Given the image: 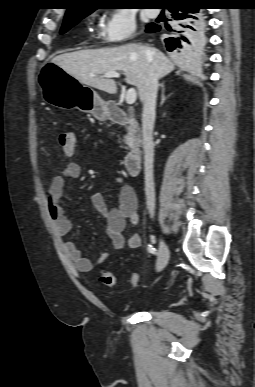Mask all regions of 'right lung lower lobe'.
Segmentation results:
<instances>
[{
    "label": "right lung lower lobe",
    "instance_id": "obj_1",
    "mask_svg": "<svg viewBox=\"0 0 255 387\" xmlns=\"http://www.w3.org/2000/svg\"><path fill=\"white\" fill-rule=\"evenodd\" d=\"M201 8L195 0H179L170 4L168 10L175 22V28L167 26L169 33L174 36L164 39L168 51L182 50L184 53L200 54L204 30ZM159 30L160 26L149 24L146 31Z\"/></svg>",
    "mask_w": 255,
    "mask_h": 387
}]
</instances>
